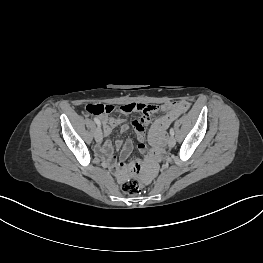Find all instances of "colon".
I'll list each match as a JSON object with an SVG mask.
<instances>
[{
	"label": "colon",
	"instance_id": "colon-1",
	"mask_svg": "<svg viewBox=\"0 0 263 263\" xmlns=\"http://www.w3.org/2000/svg\"><path fill=\"white\" fill-rule=\"evenodd\" d=\"M174 103L177 106V110L182 112H185L188 109V103L185 101H174L170 102ZM167 102H162L158 104H152L151 102L146 103H138L134 101H127L126 103H121L119 106L113 107V105H106V104H91L86 106V111L88 114H94V115H101L104 113L111 112L113 109L115 112H120L123 115H127L128 117H132L135 113L137 115H151L155 112H159V110L164 109L167 107ZM171 116V115H170ZM161 118V117H159ZM153 125V124H152ZM164 132V131H163ZM152 146V145H151ZM162 161V158H161ZM160 161V162H161ZM159 162V163H160ZM158 163V164H159ZM148 185L146 183H139L135 179L127 180L121 184V190L126 194H135L139 192L140 187L146 188Z\"/></svg>",
	"mask_w": 263,
	"mask_h": 263
}]
</instances>
